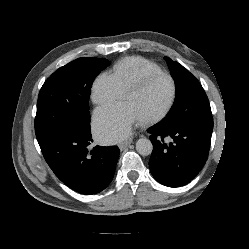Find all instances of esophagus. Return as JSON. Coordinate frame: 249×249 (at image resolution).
Returning a JSON list of instances; mask_svg holds the SVG:
<instances>
[{
  "instance_id": "esophagus-1",
  "label": "esophagus",
  "mask_w": 249,
  "mask_h": 249,
  "mask_svg": "<svg viewBox=\"0 0 249 249\" xmlns=\"http://www.w3.org/2000/svg\"><path fill=\"white\" fill-rule=\"evenodd\" d=\"M132 143V139H129L127 141H124L118 145L120 150L126 149L130 144Z\"/></svg>"
}]
</instances>
